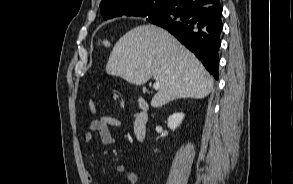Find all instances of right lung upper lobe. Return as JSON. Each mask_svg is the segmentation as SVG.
<instances>
[{"label":"right lung upper lobe","instance_id":"right-lung-upper-lobe-1","mask_svg":"<svg viewBox=\"0 0 293 184\" xmlns=\"http://www.w3.org/2000/svg\"><path fill=\"white\" fill-rule=\"evenodd\" d=\"M172 0H102L100 11L104 19L120 16H140L144 10L154 9L164 12ZM209 5L215 0H203ZM155 20V19H152Z\"/></svg>","mask_w":293,"mask_h":184}]
</instances>
